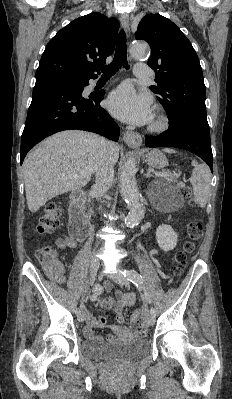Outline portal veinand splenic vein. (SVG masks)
<instances>
[{"mask_svg": "<svg viewBox=\"0 0 232 399\" xmlns=\"http://www.w3.org/2000/svg\"><path fill=\"white\" fill-rule=\"evenodd\" d=\"M155 176H162V174H155Z\"/></svg>", "mask_w": 232, "mask_h": 399, "instance_id": "obj_1", "label": "portal vein and splenic vein"}]
</instances>
